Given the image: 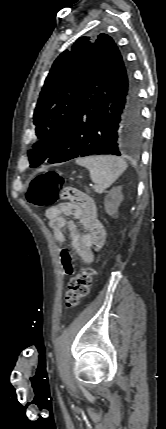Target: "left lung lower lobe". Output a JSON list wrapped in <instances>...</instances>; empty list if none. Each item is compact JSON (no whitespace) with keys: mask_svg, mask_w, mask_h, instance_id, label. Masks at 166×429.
Listing matches in <instances>:
<instances>
[{"mask_svg":"<svg viewBox=\"0 0 166 429\" xmlns=\"http://www.w3.org/2000/svg\"><path fill=\"white\" fill-rule=\"evenodd\" d=\"M89 77L48 163L94 154L135 153L142 133L141 105L131 69L113 39L95 41Z\"/></svg>","mask_w":166,"mask_h":429,"instance_id":"1","label":"left lung lower lobe"}]
</instances>
